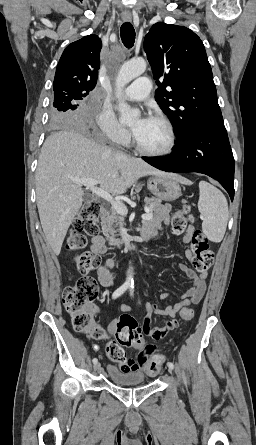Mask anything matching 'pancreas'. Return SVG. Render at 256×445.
Returning <instances> with one entry per match:
<instances>
[{
  "mask_svg": "<svg viewBox=\"0 0 256 445\" xmlns=\"http://www.w3.org/2000/svg\"><path fill=\"white\" fill-rule=\"evenodd\" d=\"M161 200L157 198L146 199L147 208L153 212L154 218L152 221H162L168 216V210L164 209ZM124 216L119 214L113 207L106 212L101 219L103 235L110 243H120L117 238V227L124 225Z\"/></svg>",
  "mask_w": 256,
  "mask_h": 445,
  "instance_id": "pancreas-1",
  "label": "pancreas"
}]
</instances>
